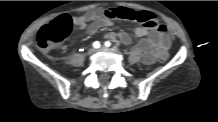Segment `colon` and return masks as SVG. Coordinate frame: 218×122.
Masks as SVG:
<instances>
[{
  "label": "colon",
  "instance_id": "1",
  "mask_svg": "<svg viewBox=\"0 0 218 122\" xmlns=\"http://www.w3.org/2000/svg\"><path fill=\"white\" fill-rule=\"evenodd\" d=\"M106 14L111 18H120L136 21L147 28H160L155 14L148 11H135L129 8H109ZM72 20L68 15H62L43 26L37 34V44L43 50H49L64 40L70 33ZM173 56L171 51H165L164 54H158L156 61L164 63Z\"/></svg>",
  "mask_w": 218,
  "mask_h": 122
}]
</instances>
